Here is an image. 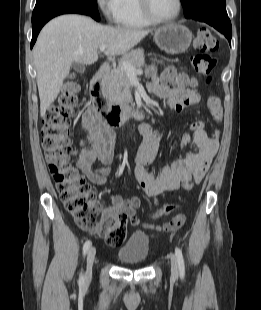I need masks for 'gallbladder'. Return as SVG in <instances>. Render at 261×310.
<instances>
[{
	"mask_svg": "<svg viewBox=\"0 0 261 310\" xmlns=\"http://www.w3.org/2000/svg\"><path fill=\"white\" fill-rule=\"evenodd\" d=\"M73 66H74V68H75L77 71H80V72H83L84 69H85L84 65H82V64H80V63H77V62H75V63L73 64Z\"/></svg>",
	"mask_w": 261,
	"mask_h": 310,
	"instance_id": "bac80fb5",
	"label": "gallbladder"
}]
</instances>
